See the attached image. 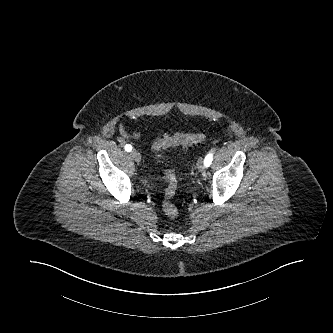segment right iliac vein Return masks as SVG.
Returning a JSON list of instances; mask_svg holds the SVG:
<instances>
[{"instance_id":"right-iliac-vein-1","label":"right iliac vein","mask_w":333,"mask_h":333,"mask_svg":"<svg viewBox=\"0 0 333 333\" xmlns=\"http://www.w3.org/2000/svg\"><path fill=\"white\" fill-rule=\"evenodd\" d=\"M131 157L136 161V162H140L141 161V155L139 152H137L136 150L131 151L130 153Z\"/></svg>"}]
</instances>
